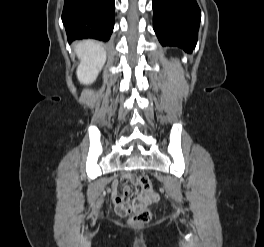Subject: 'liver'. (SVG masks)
Segmentation results:
<instances>
[{"instance_id":"obj_1","label":"liver","mask_w":264,"mask_h":247,"mask_svg":"<svg viewBox=\"0 0 264 247\" xmlns=\"http://www.w3.org/2000/svg\"><path fill=\"white\" fill-rule=\"evenodd\" d=\"M78 58L81 60L77 68V78L82 84L93 83L106 61L103 46L95 41H81L75 44Z\"/></svg>"}]
</instances>
